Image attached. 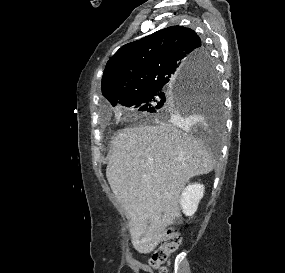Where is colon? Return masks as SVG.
Here are the masks:
<instances>
[{
  "mask_svg": "<svg viewBox=\"0 0 285 273\" xmlns=\"http://www.w3.org/2000/svg\"><path fill=\"white\" fill-rule=\"evenodd\" d=\"M180 244V236L176 232H169L164 237L160 247L156 250L150 260V265L159 271L165 273L166 265L171 254L178 248Z\"/></svg>",
  "mask_w": 285,
  "mask_h": 273,
  "instance_id": "1",
  "label": "colon"
}]
</instances>
